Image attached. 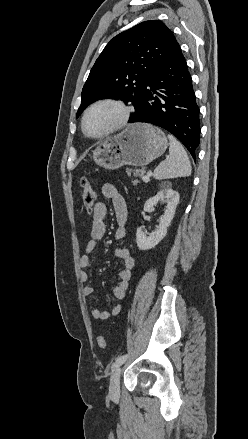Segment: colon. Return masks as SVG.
<instances>
[{
    "label": "colon",
    "mask_w": 248,
    "mask_h": 439,
    "mask_svg": "<svg viewBox=\"0 0 248 439\" xmlns=\"http://www.w3.org/2000/svg\"><path fill=\"white\" fill-rule=\"evenodd\" d=\"M82 186V200L83 205L88 213H91L94 210L96 194L91 184V181L87 177H83L81 179ZM97 344L99 348L106 350L107 342L104 336L100 335L97 337Z\"/></svg>",
    "instance_id": "5ec220e1"
}]
</instances>
